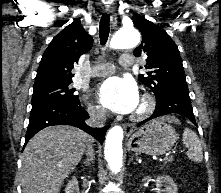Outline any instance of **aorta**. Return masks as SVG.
<instances>
[{"label":"aorta","mask_w":221,"mask_h":193,"mask_svg":"<svg viewBox=\"0 0 221 193\" xmlns=\"http://www.w3.org/2000/svg\"><path fill=\"white\" fill-rule=\"evenodd\" d=\"M140 42V34L134 28H122L115 33L111 40V48L126 49L135 47ZM123 129L120 126L112 127L107 133L104 154L111 171L117 173L122 167Z\"/></svg>","instance_id":"obj_1"}]
</instances>
